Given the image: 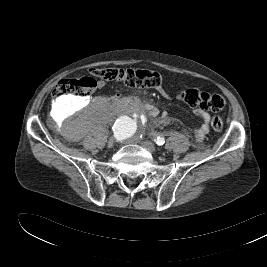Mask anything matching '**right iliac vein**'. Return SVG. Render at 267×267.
Returning <instances> with one entry per match:
<instances>
[{"label": "right iliac vein", "instance_id": "1", "mask_svg": "<svg viewBox=\"0 0 267 267\" xmlns=\"http://www.w3.org/2000/svg\"><path fill=\"white\" fill-rule=\"evenodd\" d=\"M114 143H115V139L114 138H110L107 145L109 148L113 147L114 146Z\"/></svg>", "mask_w": 267, "mask_h": 267}]
</instances>
